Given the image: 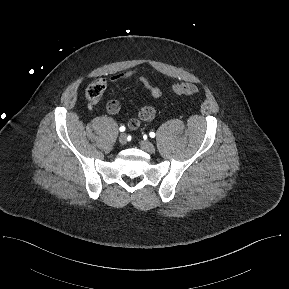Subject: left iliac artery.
<instances>
[{"label":"left iliac artery","instance_id":"1","mask_svg":"<svg viewBox=\"0 0 289 289\" xmlns=\"http://www.w3.org/2000/svg\"><path fill=\"white\" fill-rule=\"evenodd\" d=\"M149 136H150L151 138H154V137H155V133H154V132H150V133H149Z\"/></svg>","mask_w":289,"mask_h":289}]
</instances>
